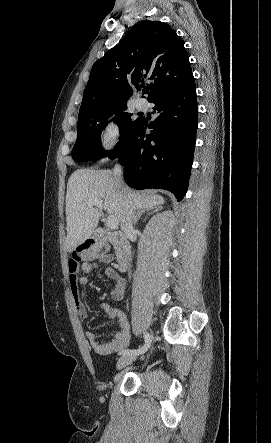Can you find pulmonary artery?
<instances>
[{"label": "pulmonary artery", "instance_id": "pulmonary-artery-1", "mask_svg": "<svg viewBox=\"0 0 271 443\" xmlns=\"http://www.w3.org/2000/svg\"><path fill=\"white\" fill-rule=\"evenodd\" d=\"M135 106L140 111H147L149 108V102L144 98L136 99Z\"/></svg>", "mask_w": 271, "mask_h": 443}]
</instances>
